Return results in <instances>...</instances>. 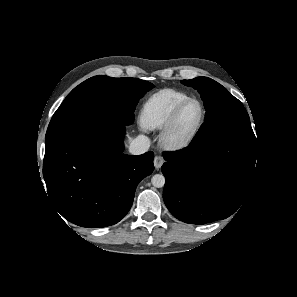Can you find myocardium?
Instances as JSON below:
<instances>
[{"mask_svg":"<svg viewBox=\"0 0 297 297\" xmlns=\"http://www.w3.org/2000/svg\"><path fill=\"white\" fill-rule=\"evenodd\" d=\"M191 102H196L200 106V109H201L200 119H199L198 123L196 124V126L194 127V129L188 135L179 137L176 135V132H175L177 121H178L179 116H180L181 112L183 111V109ZM206 116H207V111H206V108H205L204 104L202 103V101H200L197 98H192V97H189L188 99L184 100L175 108V110L171 114L169 120L163 127V130L161 133L162 145L166 149L171 150V151H177V150H182V149L187 148L188 146H190L193 143V141L196 139V137L200 133V131L206 121Z\"/></svg>","mask_w":297,"mask_h":297,"instance_id":"myocardium-1","label":"myocardium"}]
</instances>
